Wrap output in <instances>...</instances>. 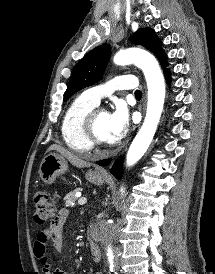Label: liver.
<instances>
[{
  "label": "liver",
  "mask_w": 215,
  "mask_h": 274,
  "mask_svg": "<svg viewBox=\"0 0 215 274\" xmlns=\"http://www.w3.org/2000/svg\"><path fill=\"white\" fill-rule=\"evenodd\" d=\"M52 150H56L57 152H59L64 158H66L72 165L76 167L83 168L90 166V163L86 162L82 157L73 154L72 152L66 150L59 145L50 146L48 151Z\"/></svg>",
  "instance_id": "6515ba94"
}]
</instances>
